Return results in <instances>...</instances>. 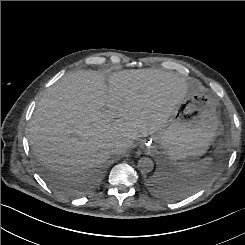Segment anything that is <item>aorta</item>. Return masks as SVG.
<instances>
[{
    "label": "aorta",
    "mask_w": 245,
    "mask_h": 245,
    "mask_svg": "<svg viewBox=\"0 0 245 245\" xmlns=\"http://www.w3.org/2000/svg\"><path fill=\"white\" fill-rule=\"evenodd\" d=\"M137 167L141 173H149L154 168V163L149 157H142L139 159Z\"/></svg>",
    "instance_id": "aorta-1"
}]
</instances>
